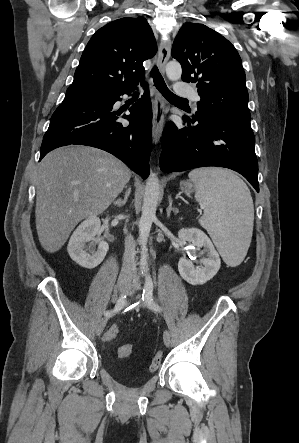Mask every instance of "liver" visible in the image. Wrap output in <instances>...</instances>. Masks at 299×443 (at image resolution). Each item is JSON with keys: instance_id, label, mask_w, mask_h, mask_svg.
<instances>
[{"instance_id": "liver-1", "label": "liver", "mask_w": 299, "mask_h": 443, "mask_svg": "<svg viewBox=\"0 0 299 443\" xmlns=\"http://www.w3.org/2000/svg\"><path fill=\"white\" fill-rule=\"evenodd\" d=\"M131 178V170L102 150L62 147L48 153L36 175V230L50 253L61 249L79 221L103 213Z\"/></svg>"}]
</instances>
